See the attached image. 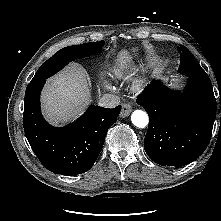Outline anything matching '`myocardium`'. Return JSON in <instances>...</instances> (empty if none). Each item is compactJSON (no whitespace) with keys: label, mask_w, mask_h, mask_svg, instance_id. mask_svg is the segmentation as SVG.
I'll return each mask as SVG.
<instances>
[{"label":"myocardium","mask_w":221,"mask_h":221,"mask_svg":"<svg viewBox=\"0 0 221 221\" xmlns=\"http://www.w3.org/2000/svg\"><path fill=\"white\" fill-rule=\"evenodd\" d=\"M141 87H142V82H139V83L136 85V88L139 90V89H141Z\"/></svg>","instance_id":"1"}]
</instances>
